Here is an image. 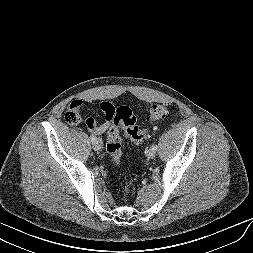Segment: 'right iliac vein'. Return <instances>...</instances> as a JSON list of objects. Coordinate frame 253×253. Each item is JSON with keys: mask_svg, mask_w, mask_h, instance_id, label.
I'll use <instances>...</instances> for the list:
<instances>
[{"mask_svg": "<svg viewBox=\"0 0 253 253\" xmlns=\"http://www.w3.org/2000/svg\"><path fill=\"white\" fill-rule=\"evenodd\" d=\"M93 149L96 151H99L102 149V141L99 138H96L94 141H92Z\"/></svg>", "mask_w": 253, "mask_h": 253, "instance_id": "1", "label": "right iliac vein"}]
</instances>
